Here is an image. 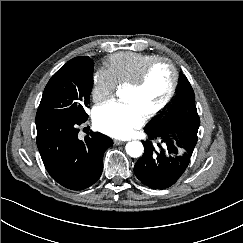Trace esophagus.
<instances>
[{"label": "esophagus", "mask_w": 243, "mask_h": 243, "mask_svg": "<svg viewBox=\"0 0 243 243\" xmlns=\"http://www.w3.org/2000/svg\"><path fill=\"white\" fill-rule=\"evenodd\" d=\"M113 143H114V145H121V144L124 143V141L123 140H119V139H114Z\"/></svg>", "instance_id": "esophagus-1"}]
</instances>
